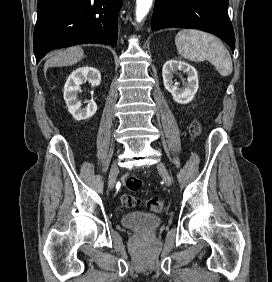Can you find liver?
Returning a JSON list of instances; mask_svg holds the SVG:
<instances>
[{
    "instance_id": "obj_1",
    "label": "liver",
    "mask_w": 272,
    "mask_h": 282,
    "mask_svg": "<svg viewBox=\"0 0 272 282\" xmlns=\"http://www.w3.org/2000/svg\"><path fill=\"white\" fill-rule=\"evenodd\" d=\"M84 58V51L81 47H70L63 51H58L54 56L50 57L44 66V71L49 67L69 66L79 62Z\"/></svg>"
}]
</instances>
